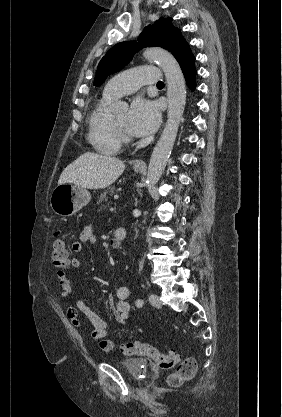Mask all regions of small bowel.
<instances>
[{"label": "small bowel", "instance_id": "small-bowel-1", "mask_svg": "<svg viewBox=\"0 0 282 417\" xmlns=\"http://www.w3.org/2000/svg\"><path fill=\"white\" fill-rule=\"evenodd\" d=\"M116 232V231H115ZM115 234V233H114ZM83 243L97 246V237L95 235L94 225L86 223L79 232V240L72 244V250L80 253L83 249ZM114 244V238L112 239ZM116 247V246H115ZM70 267L78 269L81 261L78 258H72ZM57 278L60 285L59 296L67 298L72 294V284L64 269L57 271ZM129 288L126 286L115 287L108 295V301L113 305L112 316L114 321L120 325H126L129 318L130 305L128 302ZM82 313L91 329V336L94 340H105L109 335V323L96 314L82 299H77L75 306H67L66 314L72 326L76 329L82 328V321L79 314Z\"/></svg>", "mask_w": 282, "mask_h": 417}]
</instances>
